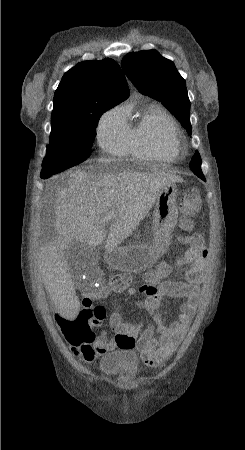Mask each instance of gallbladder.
<instances>
[{
	"label": "gallbladder",
	"mask_w": 245,
	"mask_h": 450,
	"mask_svg": "<svg viewBox=\"0 0 245 450\" xmlns=\"http://www.w3.org/2000/svg\"><path fill=\"white\" fill-rule=\"evenodd\" d=\"M65 258L69 273L77 286L80 275L89 273L92 268L98 265L100 254L98 250L90 249L85 243L73 241L65 250Z\"/></svg>",
	"instance_id": "gallbladder-1"
}]
</instances>
